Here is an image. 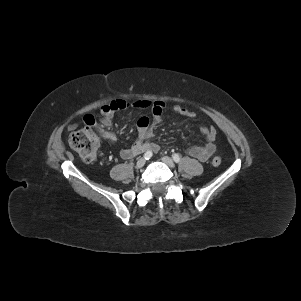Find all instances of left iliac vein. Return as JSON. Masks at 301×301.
Here are the masks:
<instances>
[{"label": "left iliac vein", "instance_id": "4c4485c4", "mask_svg": "<svg viewBox=\"0 0 301 301\" xmlns=\"http://www.w3.org/2000/svg\"><path fill=\"white\" fill-rule=\"evenodd\" d=\"M162 161L170 168H175L173 160L168 156H163Z\"/></svg>", "mask_w": 301, "mask_h": 301}]
</instances>
